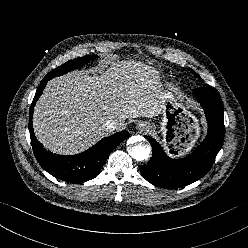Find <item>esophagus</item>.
<instances>
[{"mask_svg": "<svg viewBox=\"0 0 248 248\" xmlns=\"http://www.w3.org/2000/svg\"><path fill=\"white\" fill-rule=\"evenodd\" d=\"M138 129H140L141 131H145L147 130V125L144 122H139L137 125Z\"/></svg>", "mask_w": 248, "mask_h": 248, "instance_id": "esophagus-1", "label": "esophagus"}]
</instances>
